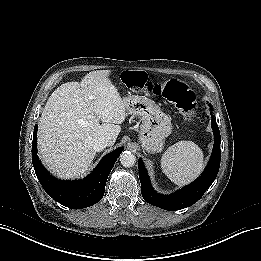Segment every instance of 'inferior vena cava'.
Masks as SVG:
<instances>
[{
    "label": "inferior vena cava",
    "instance_id": "inferior-vena-cava-1",
    "mask_svg": "<svg viewBox=\"0 0 261 261\" xmlns=\"http://www.w3.org/2000/svg\"><path fill=\"white\" fill-rule=\"evenodd\" d=\"M109 146V139L106 136H99L93 141V148L96 152L102 151Z\"/></svg>",
    "mask_w": 261,
    "mask_h": 261
}]
</instances>
